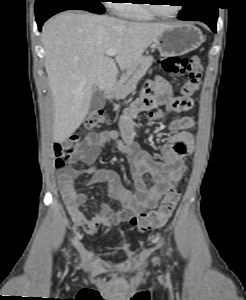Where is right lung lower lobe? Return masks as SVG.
Segmentation results:
<instances>
[{"mask_svg": "<svg viewBox=\"0 0 246 300\" xmlns=\"http://www.w3.org/2000/svg\"><path fill=\"white\" fill-rule=\"evenodd\" d=\"M71 9H79V10H86L92 13L101 14L94 9H91L86 4L78 0H56L47 3L43 7L39 9H35L36 21L38 24L39 30H41L43 23L50 18L51 16Z\"/></svg>", "mask_w": 246, "mask_h": 300, "instance_id": "right-lung-lower-lobe-1", "label": "right lung lower lobe"}]
</instances>
